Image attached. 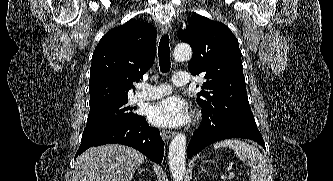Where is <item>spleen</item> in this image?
<instances>
[{
    "label": "spleen",
    "mask_w": 333,
    "mask_h": 181,
    "mask_svg": "<svg viewBox=\"0 0 333 181\" xmlns=\"http://www.w3.org/2000/svg\"><path fill=\"white\" fill-rule=\"evenodd\" d=\"M229 147L247 166L251 167V181H267L269 166L263 154L248 143L233 139L223 140L214 144V148Z\"/></svg>",
    "instance_id": "1"
}]
</instances>
